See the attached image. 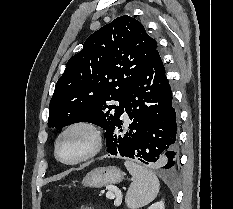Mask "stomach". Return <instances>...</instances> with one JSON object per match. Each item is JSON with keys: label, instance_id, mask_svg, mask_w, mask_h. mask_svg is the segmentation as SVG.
<instances>
[{"label": "stomach", "instance_id": "0dacf381", "mask_svg": "<svg viewBox=\"0 0 233 209\" xmlns=\"http://www.w3.org/2000/svg\"><path fill=\"white\" fill-rule=\"evenodd\" d=\"M123 179L122 171L114 166L98 167L91 170L82 180L87 187L101 188L109 184H117Z\"/></svg>", "mask_w": 233, "mask_h": 209}]
</instances>
